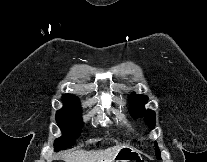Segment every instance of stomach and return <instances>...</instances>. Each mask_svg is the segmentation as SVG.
Wrapping results in <instances>:
<instances>
[{"instance_id":"stomach-1","label":"stomach","mask_w":207,"mask_h":162,"mask_svg":"<svg viewBox=\"0 0 207 162\" xmlns=\"http://www.w3.org/2000/svg\"><path fill=\"white\" fill-rule=\"evenodd\" d=\"M141 155L134 149L122 146L118 149L113 159L108 162H144Z\"/></svg>"}]
</instances>
